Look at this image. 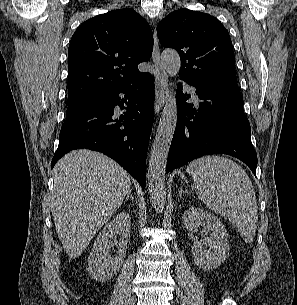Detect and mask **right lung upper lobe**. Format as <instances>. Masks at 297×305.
<instances>
[{"instance_id":"1","label":"right lung upper lobe","mask_w":297,"mask_h":305,"mask_svg":"<svg viewBox=\"0 0 297 305\" xmlns=\"http://www.w3.org/2000/svg\"><path fill=\"white\" fill-rule=\"evenodd\" d=\"M153 33L133 9L113 10L82 23L68 50V103L104 96L146 73L138 64L148 61Z\"/></svg>"}]
</instances>
